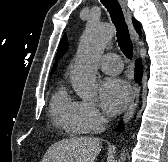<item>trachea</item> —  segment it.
Instances as JSON below:
<instances>
[{
    "instance_id": "trachea-1",
    "label": "trachea",
    "mask_w": 168,
    "mask_h": 162,
    "mask_svg": "<svg viewBox=\"0 0 168 162\" xmlns=\"http://www.w3.org/2000/svg\"><path fill=\"white\" fill-rule=\"evenodd\" d=\"M110 13L112 22L117 30V41L124 55L131 59L133 56V44L130 39L127 24L124 19L122 8L118 0H100Z\"/></svg>"
}]
</instances>
